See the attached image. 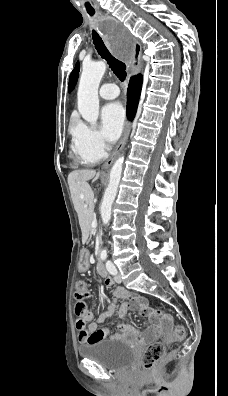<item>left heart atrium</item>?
Wrapping results in <instances>:
<instances>
[{"instance_id": "obj_1", "label": "left heart atrium", "mask_w": 228, "mask_h": 396, "mask_svg": "<svg viewBox=\"0 0 228 396\" xmlns=\"http://www.w3.org/2000/svg\"><path fill=\"white\" fill-rule=\"evenodd\" d=\"M125 112L118 102L106 105L101 112L102 129L105 137L110 141H116L123 129Z\"/></svg>"}]
</instances>
